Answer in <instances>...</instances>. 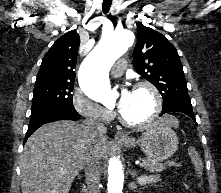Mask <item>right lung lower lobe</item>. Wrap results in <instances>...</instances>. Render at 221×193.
Returning <instances> with one entry per match:
<instances>
[{"label": "right lung lower lobe", "mask_w": 221, "mask_h": 193, "mask_svg": "<svg viewBox=\"0 0 221 193\" xmlns=\"http://www.w3.org/2000/svg\"><path fill=\"white\" fill-rule=\"evenodd\" d=\"M81 117L75 109L64 107H50L41 109L37 112H31L30 122L26 133L25 141L34 133L41 125L62 119L77 120Z\"/></svg>", "instance_id": "obj_1"}]
</instances>
